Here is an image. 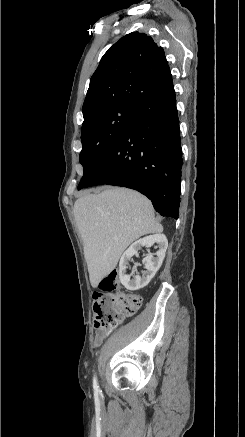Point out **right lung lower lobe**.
Returning a JSON list of instances; mask_svg holds the SVG:
<instances>
[{
	"instance_id": "1",
	"label": "right lung lower lobe",
	"mask_w": 245,
	"mask_h": 437,
	"mask_svg": "<svg viewBox=\"0 0 245 437\" xmlns=\"http://www.w3.org/2000/svg\"><path fill=\"white\" fill-rule=\"evenodd\" d=\"M182 164L174 91L137 105L118 142L78 189L101 184L135 189L162 216L178 219Z\"/></svg>"
}]
</instances>
